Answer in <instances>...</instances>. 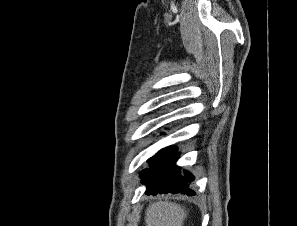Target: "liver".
I'll list each match as a JSON object with an SVG mask.
<instances>
[{
    "instance_id": "1",
    "label": "liver",
    "mask_w": 297,
    "mask_h": 226,
    "mask_svg": "<svg viewBox=\"0 0 297 226\" xmlns=\"http://www.w3.org/2000/svg\"><path fill=\"white\" fill-rule=\"evenodd\" d=\"M185 207L169 201L150 203L145 211V226H183Z\"/></svg>"
}]
</instances>
